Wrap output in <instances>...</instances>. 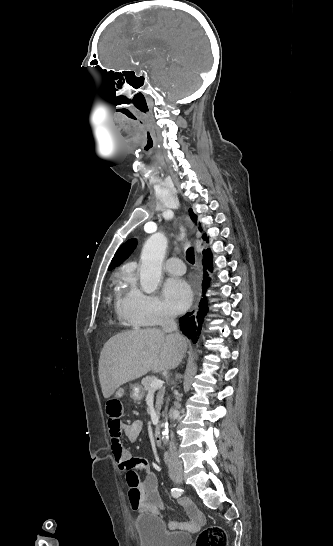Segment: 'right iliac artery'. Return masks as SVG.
<instances>
[{
	"instance_id": "obj_1",
	"label": "right iliac artery",
	"mask_w": 333,
	"mask_h": 546,
	"mask_svg": "<svg viewBox=\"0 0 333 546\" xmlns=\"http://www.w3.org/2000/svg\"><path fill=\"white\" fill-rule=\"evenodd\" d=\"M171 495L174 498H178L181 495V490L177 489V488H173V489H171Z\"/></svg>"
}]
</instances>
